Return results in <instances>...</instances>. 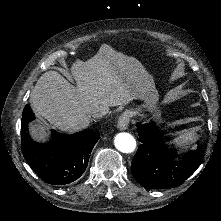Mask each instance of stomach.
I'll return each mask as SVG.
<instances>
[{
  "label": "stomach",
  "mask_w": 221,
  "mask_h": 221,
  "mask_svg": "<svg viewBox=\"0 0 221 221\" xmlns=\"http://www.w3.org/2000/svg\"><path fill=\"white\" fill-rule=\"evenodd\" d=\"M152 104L150 103V96H145L138 103V105L132 109H130L127 113L129 118L137 117L144 114L149 116L148 120L157 128L158 131L164 128V118L160 109H152L150 107Z\"/></svg>",
  "instance_id": "stomach-1"
}]
</instances>
